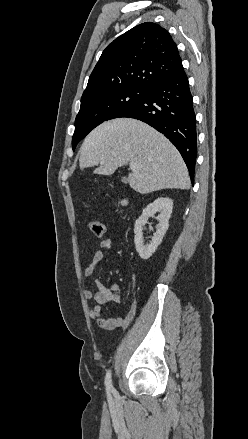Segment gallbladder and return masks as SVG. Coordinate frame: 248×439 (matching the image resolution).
<instances>
[{
    "mask_svg": "<svg viewBox=\"0 0 248 439\" xmlns=\"http://www.w3.org/2000/svg\"><path fill=\"white\" fill-rule=\"evenodd\" d=\"M122 180L125 182V181H126V178H123Z\"/></svg>",
    "mask_w": 248,
    "mask_h": 439,
    "instance_id": "gallbladder-1",
    "label": "gallbladder"
}]
</instances>
